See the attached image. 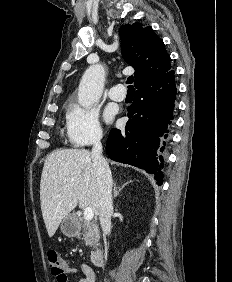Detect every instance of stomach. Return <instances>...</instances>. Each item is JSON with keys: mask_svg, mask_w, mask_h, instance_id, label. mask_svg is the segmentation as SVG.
I'll return each instance as SVG.
<instances>
[{"mask_svg": "<svg viewBox=\"0 0 232 282\" xmlns=\"http://www.w3.org/2000/svg\"><path fill=\"white\" fill-rule=\"evenodd\" d=\"M61 232L67 237H75L80 232V224L72 214L63 218L60 224Z\"/></svg>", "mask_w": 232, "mask_h": 282, "instance_id": "0dacf381", "label": "stomach"}]
</instances>
